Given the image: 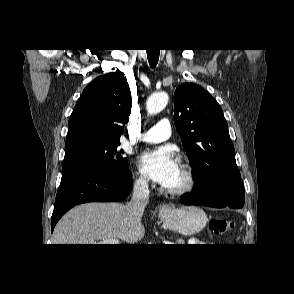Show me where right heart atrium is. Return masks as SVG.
Listing matches in <instances>:
<instances>
[{
  "instance_id": "1",
  "label": "right heart atrium",
  "mask_w": 294,
  "mask_h": 294,
  "mask_svg": "<svg viewBox=\"0 0 294 294\" xmlns=\"http://www.w3.org/2000/svg\"><path fill=\"white\" fill-rule=\"evenodd\" d=\"M134 185L140 190H146L148 188V180L142 174H137L134 179Z\"/></svg>"
}]
</instances>
